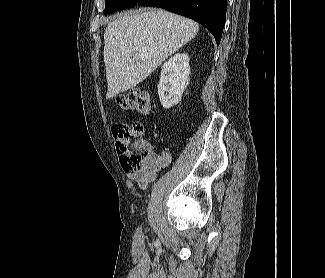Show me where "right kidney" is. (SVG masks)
Listing matches in <instances>:
<instances>
[{
  "instance_id": "right-kidney-1",
  "label": "right kidney",
  "mask_w": 325,
  "mask_h": 278,
  "mask_svg": "<svg viewBox=\"0 0 325 278\" xmlns=\"http://www.w3.org/2000/svg\"><path fill=\"white\" fill-rule=\"evenodd\" d=\"M189 74V56L186 53H177L163 64L158 95L164 108L169 109L180 102L189 84Z\"/></svg>"
}]
</instances>
